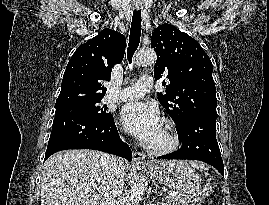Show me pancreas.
<instances>
[{"label":"pancreas","mask_w":269,"mask_h":205,"mask_svg":"<svg viewBox=\"0 0 269 205\" xmlns=\"http://www.w3.org/2000/svg\"><path fill=\"white\" fill-rule=\"evenodd\" d=\"M165 205H185V204L181 202L176 195H172L167 197Z\"/></svg>","instance_id":"pancreas-1"}]
</instances>
